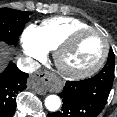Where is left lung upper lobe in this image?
I'll return each instance as SVG.
<instances>
[{
    "mask_svg": "<svg viewBox=\"0 0 117 117\" xmlns=\"http://www.w3.org/2000/svg\"><path fill=\"white\" fill-rule=\"evenodd\" d=\"M114 66H115V57H114L113 51L110 50L107 63L104 67H105V70L108 69L111 71L112 76L114 75Z\"/></svg>",
    "mask_w": 117,
    "mask_h": 117,
    "instance_id": "obj_1",
    "label": "left lung upper lobe"
}]
</instances>
